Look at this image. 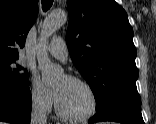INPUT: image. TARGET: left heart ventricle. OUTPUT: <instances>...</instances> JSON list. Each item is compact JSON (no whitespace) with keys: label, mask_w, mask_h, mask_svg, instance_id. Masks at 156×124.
I'll list each match as a JSON object with an SVG mask.
<instances>
[{"label":"left heart ventricle","mask_w":156,"mask_h":124,"mask_svg":"<svg viewBox=\"0 0 156 124\" xmlns=\"http://www.w3.org/2000/svg\"><path fill=\"white\" fill-rule=\"evenodd\" d=\"M54 91L61 109L70 115H83L92 106V99L88 90L66 77L55 82Z\"/></svg>","instance_id":"obj_1"}]
</instances>
